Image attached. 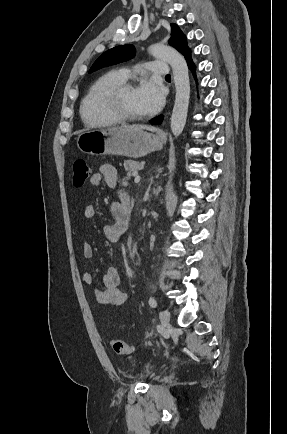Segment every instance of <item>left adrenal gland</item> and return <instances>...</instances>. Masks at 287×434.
I'll return each instance as SVG.
<instances>
[{"instance_id":"obj_1","label":"left adrenal gland","mask_w":287,"mask_h":434,"mask_svg":"<svg viewBox=\"0 0 287 434\" xmlns=\"http://www.w3.org/2000/svg\"><path fill=\"white\" fill-rule=\"evenodd\" d=\"M157 172H158V174L156 175V177L159 176V173L161 172V169L159 168V169L157 170Z\"/></svg>"}]
</instances>
